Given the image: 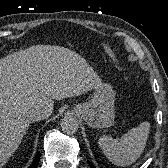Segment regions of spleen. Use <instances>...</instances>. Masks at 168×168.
Segmentation results:
<instances>
[{
  "mask_svg": "<svg viewBox=\"0 0 168 168\" xmlns=\"http://www.w3.org/2000/svg\"><path fill=\"white\" fill-rule=\"evenodd\" d=\"M150 130L149 122L140 123L130 129L119 142L109 136H101L98 145L104 155L115 165L128 166L134 163L142 154Z\"/></svg>",
  "mask_w": 168,
  "mask_h": 168,
  "instance_id": "1",
  "label": "spleen"
}]
</instances>
